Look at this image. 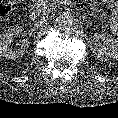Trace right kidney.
Segmentation results:
<instances>
[{
    "mask_svg": "<svg viewBox=\"0 0 118 118\" xmlns=\"http://www.w3.org/2000/svg\"><path fill=\"white\" fill-rule=\"evenodd\" d=\"M23 32L21 26H15L6 30L2 36H0V56H3L7 59H17L21 58L29 48V42L26 40L19 49H11L10 45L15 36H18Z\"/></svg>",
    "mask_w": 118,
    "mask_h": 118,
    "instance_id": "right-kidney-1",
    "label": "right kidney"
}]
</instances>
